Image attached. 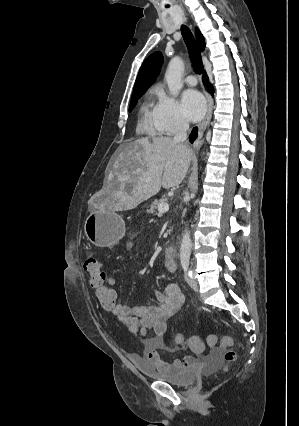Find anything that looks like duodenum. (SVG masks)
<instances>
[{
    "label": "duodenum",
    "mask_w": 299,
    "mask_h": 426,
    "mask_svg": "<svg viewBox=\"0 0 299 426\" xmlns=\"http://www.w3.org/2000/svg\"><path fill=\"white\" fill-rule=\"evenodd\" d=\"M177 256L176 250L173 246H167L165 248V258L170 261H175Z\"/></svg>",
    "instance_id": "obj_1"
}]
</instances>
